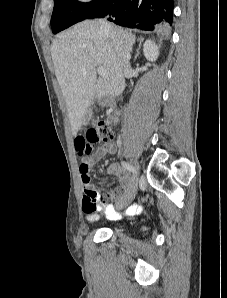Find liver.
Wrapping results in <instances>:
<instances>
[{
	"instance_id": "6515ba94",
	"label": "liver",
	"mask_w": 227,
	"mask_h": 298,
	"mask_svg": "<svg viewBox=\"0 0 227 298\" xmlns=\"http://www.w3.org/2000/svg\"><path fill=\"white\" fill-rule=\"evenodd\" d=\"M103 32L97 20H84L53 40L51 55L55 75L62 90L76 136L94 99L119 96L125 88L122 50L132 51L135 35L117 26ZM97 67L108 78L97 79Z\"/></svg>"
}]
</instances>
